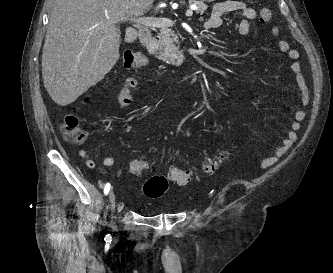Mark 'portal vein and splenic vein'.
<instances>
[{"label": "portal vein and splenic vein", "mask_w": 333, "mask_h": 273, "mask_svg": "<svg viewBox=\"0 0 333 273\" xmlns=\"http://www.w3.org/2000/svg\"><path fill=\"white\" fill-rule=\"evenodd\" d=\"M197 7L193 6L188 9L185 13L186 16L190 17L193 15V10H196ZM126 21L136 23L138 25H144L147 27H157L165 29L173 24V22L168 18H153V17H127Z\"/></svg>", "instance_id": "18ae733b"}]
</instances>
